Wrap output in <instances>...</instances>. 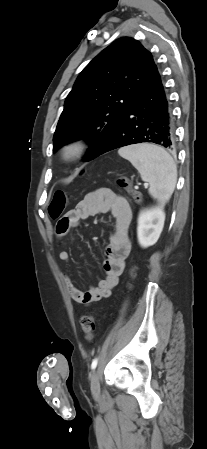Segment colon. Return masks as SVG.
<instances>
[{
  "label": "colon",
  "instance_id": "obj_1",
  "mask_svg": "<svg viewBox=\"0 0 207 449\" xmlns=\"http://www.w3.org/2000/svg\"><path fill=\"white\" fill-rule=\"evenodd\" d=\"M117 185L125 189L130 197L137 203H141L142 197L140 193L133 188L130 180L125 176H120L117 179ZM69 201V196L63 191L55 192L53 199L49 205L48 212L53 220H60L62 214L64 213ZM136 275V268L132 267L130 270V276L133 278ZM81 328L86 340L90 341L93 339L95 331V319L91 315H85L81 318Z\"/></svg>",
  "mask_w": 207,
  "mask_h": 449
}]
</instances>
